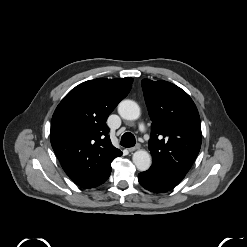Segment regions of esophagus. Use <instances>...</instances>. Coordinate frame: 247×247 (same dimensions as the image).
Wrapping results in <instances>:
<instances>
[{"mask_svg": "<svg viewBox=\"0 0 247 247\" xmlns=\"http://www.w3.org/2000/svg\"><path fill=\"white\" fill-rule=\"evenodd\" d=\"M139 148H140V145H139V144H136L134 147L128 148V151H129V152H133V151H135V150H137V149H139Z\"/></svg>", "mask_w": 247, "mask_h": 247, "instance_id": "34e87169", "label": "esophagus"}]
</instances>
